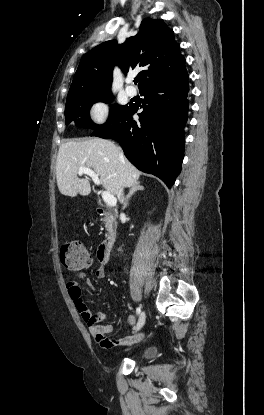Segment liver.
Here are the masks:
<instances>
[{"label":"liver","mask_w":264,"mask_h":415,"mask_svg":"<svg viewBox=\"0 0 264 415\" xmlns=\"http://www.w3.org/2000/svg\"><path fill=\"white\" fill-rule=\"evenodd\" d=\"M81 167L93 169L103 188L113 196H118L121 188L137 183L140 177V171L121 157L120 149L113 142L101 138L68 141L60 145L56 159L61 194L70 197L90 194L89 179L77 176Z\"/></svg>","instance_id":"obj_1"}]
</instances>
